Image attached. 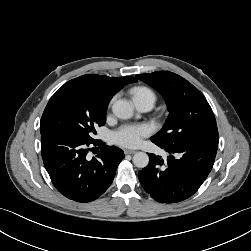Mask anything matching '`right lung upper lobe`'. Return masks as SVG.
<instances>
[{
    "label": "right lung upper lobe",
    "instance_id": "1",
    "mask_svg": "<svg viewBox=\"0 0 251 251\" xmlns=\"http://www.w3.org/2000/svg\"><path fill=\"white\" fill-rule=\"evenodd\" d=\"M132 76L122 78L108 77L105 75L87 74L70 80L69 83H74L82 87L92 89L104 101L108 102L128 83L136 82Z\"/></svg>",
    "mask_w": 251,
    "mask_h": 251
}]
</instances>
